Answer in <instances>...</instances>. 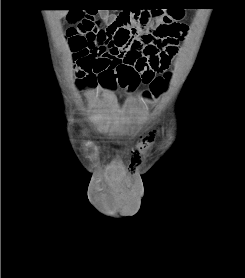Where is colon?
Masks as SVG:
<instances>
[{
	"mask_svg": "<svg viewBox=\"0 0 245 278\" xmlns=\"http://www.w3.org/2000/svg\"><path fill=\"white\" fill-rule=\"evenodd\" d=\"M183 14L176 10L172 12L174 19H181ZM66 22L69 26L65 37L70 48L71 54L76 59L80 52L88 54L90 57H103L104 49H97L96 44L100 46H115L118 48H128L130 51H136L140 48H147L148 53L160 54L165 50L175 52L183 39V34L178 30L176 24L168 18H161L156 9H133L123 10L117 17L105 28L99 23L85 19L79 11H73L66 16ZM87 31L89 34L86 40L79 37V32ZM90 66L85 68L89 71ZM168 74L164 76H154L146 74L143 80L150 84L149 89L144 91L145 97L159 95L165 87ZM138 76L121 78L119 86L126 90H134L139 81ZM76 83L82 86L85 83L84 72L76 73ZM149 145L146 139L139 140L135 152L145 154Z\"/></svg>",
	"mask_w": 245,
	"mask_h": 278,
	"instance_id": "colon-1",
	"label": "colon"
}]
</instances>
